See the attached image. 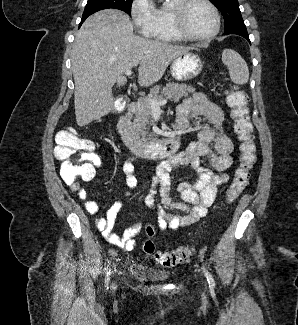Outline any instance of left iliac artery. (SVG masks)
<instances>
[{"label": "left iliac artery", "instance_id": "44dca946", "mask_svg": "<svg viewBox=\"0 0 298 325\" xmlns=\"http://www.w3.org/2000/svg\"><path fill=\"white\" fill-rule=\"evenodd\" d=\"M202 269H203V272H204V274L206 276V279H207V281L209 283V286L214 287L215 286V281H214L212 275L209 273V271L206 269L205 266H203Z\"/></svg>", "mask_w": 298, "mask_h": 325}]
</instances>
